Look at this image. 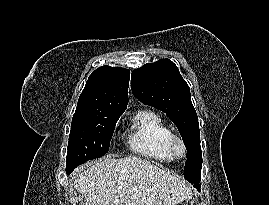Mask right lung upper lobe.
I'll return each instance as SVG.
<instances>
[{"mask_svg":"<svg viewBox=\"0 0 269 205\" xmlns=\"http://www.w3.org/2000/svg\"><path fill=\"white\" fill-rule=\"evenodd\" d=\"M130 72L120 67L102 66L89 76L76 113L121 115L128 104Z\"/></svg>","mask_w":269,"mask_h":205,"instance_id":"cb5924a9","label":"right lung upper lobe"}]
</instances>
